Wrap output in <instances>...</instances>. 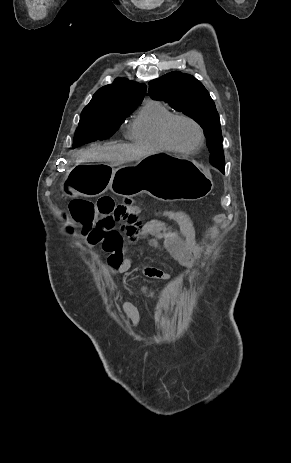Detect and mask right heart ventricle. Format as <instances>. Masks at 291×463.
Returning <instances> with one entry per match:
<instances>
[{
    "label": "right heart ventricle",
    "mask_w": 291,
    "mask_h": 463,
    "mask_svg": "<svg viewBox=\"0 0 291 463\" xmlns=\"http://www.w3.org/2000/svg\"><path fill=\"white\" fill-rule=\"evenodd\" d=\"M175 115L166 105L156 100H148L136 113L128 127L129 139L156 150H172L162 134L166 121Z\"/></svg>",
    "instance_id": "obj_1"
}]
</instances>
